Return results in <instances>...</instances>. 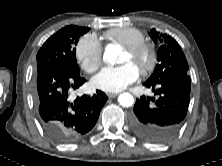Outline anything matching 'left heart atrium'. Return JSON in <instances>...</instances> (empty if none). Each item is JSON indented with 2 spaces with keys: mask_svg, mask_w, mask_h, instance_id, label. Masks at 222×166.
Returning <instances> with one entry per match:
<instances>
[{
  "mask_svg": "<svg viewBox=\"0 0 222 166\" xmlns=\"http://www.w3.org/2000/svg\"><path fill=\"white\" fill-rule=\"evenodd\" d=\"M139 78V69L131 62L104 67L92 78V85L105 92H119Z\"/></svg>",
  "mask_w": 222,
  "mask_h": 166,
  "instance_id": "obj_1",
  "label": "left heart atrium"
}]
</instances>
